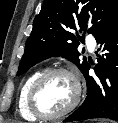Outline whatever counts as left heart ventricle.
<instances>
[{
	"instance_id": "b2bd125f",
	"label": "left heart ventricle",
	"mask_w": 118,
	"mask_h": 123,
	"mask_svg": "<svg viewBox=\"0 0 118 123\" xmlns=\"http://www.w3.org/2000/svg\"><path fill=\"white\" fill-rule=\"evenodd\" d=\"M74 92V83L69 76L55 74L50 76L40 87L37 104L43 112L56 114L71 103Z\"/></svg>"
}]
</instances>
